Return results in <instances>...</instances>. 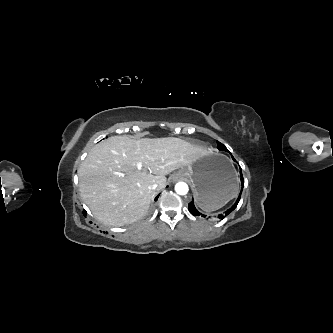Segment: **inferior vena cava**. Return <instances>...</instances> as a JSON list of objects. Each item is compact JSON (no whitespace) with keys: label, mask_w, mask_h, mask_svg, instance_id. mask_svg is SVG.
<instances>
[{"label":"inferior vena cava","mask_w":333,"mask_h":333,"mask_svg":"<svg viewBox=\"0 0 333 333\" xmlns=\"http://www.w3.org/2000/svg\"><path fill=\"white\" fill-rule=\"evenodd\" d=\"M157 187H158V184H157V183H153V184L150 186V189L155 190V189H157Z\"/></svg>","instance_id":"obj_1"}]
</instances>
